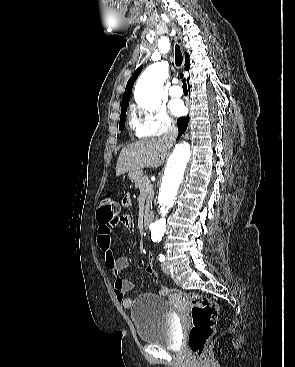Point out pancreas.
<instances>
[{
	"mask_svg": "<svg viewBox=\"0 0 295 367\" xmlns=\"http://www.w3.org/2000/svg\"><path fill=\"white\" fill-rule=\"evenodd\" d=\"M146 186H151L150 180L147 176H143L142 179L135 184L136 189L140 191L141 194H144L147 198L146 205H145V212H148L152 206V199L154 196V193L152 189L150 191H146Z\"/></svg>",
	"mask_w": 295,
	"mask_h": 367,
	"instance_id": "pancreas-1",
	"label": "pancreas"
}]
</instances>
